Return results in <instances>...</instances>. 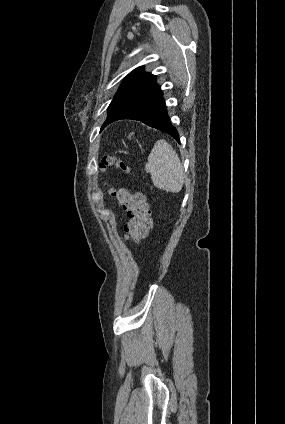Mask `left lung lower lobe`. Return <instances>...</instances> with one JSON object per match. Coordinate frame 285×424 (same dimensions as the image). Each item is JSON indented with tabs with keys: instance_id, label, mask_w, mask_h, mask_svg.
Listing matches in <instances>:
<instances>
[{
	"instance_id": "1",
	"label": "left lung lower lobe",
	"mask_w": 285,
	"mask_h": 424,
	"mask_svg": "<svg viewBox=\"0 0 285 424\" xmlns=\"http://www.w3.org/2000/svg\"><path fill=\"white\" fill-rule=\"evenodd\" d=\"M163 93L156 80L119 103L108 115L102 128L121 119L138 120L171 135L180 142L167 114Z\"/></svg>"
}]
</instances>
